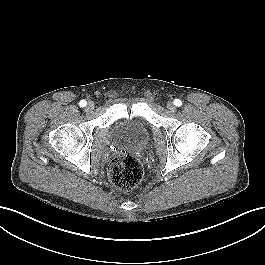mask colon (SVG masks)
Masks as SVG:
<instances>
[{"mask_svg":"<svg viewBox=\"0 0 265 265\" xmlns=\"http://www.w3.org/2000/svg\"><path fill=\"white\" fill-rule=\"evenodd\" d=\"M108 175L116 188L121 191H130L141 181L143 167L135 156L122 153L111 161Z\"/></svg>","mask_w":265,"mask_h":265,"instance_id":"5ec220e1","label":"colon"}]
</instances>
